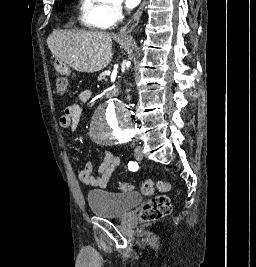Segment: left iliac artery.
<instances>
[{
    "mask_svg": "<svg viewBox=\"0 0 256 267\" xmlns=\"http://www.w3.org/2000/svg\"><path fill=\"white\" fill-rule=\"evenodd\" d=\"M128 168L131 171L137 170L138 169V163L137 162L130 161L128 163Z\"/></svg>",
    "mask_w": 256,
    "mask_h": 267,
    "instance_id": "left-iliac-artery-1",
    "label": "left iliac artery"
}]
</instances>
